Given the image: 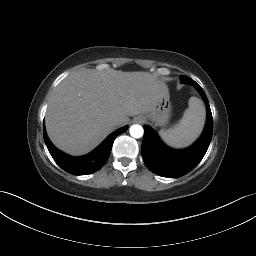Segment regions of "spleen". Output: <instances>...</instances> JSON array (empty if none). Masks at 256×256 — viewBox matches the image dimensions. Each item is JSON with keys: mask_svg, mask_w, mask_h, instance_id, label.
I'll return each instance as SVG.
<instances>
[{"mask_svg": "<svg viewBox=\"0 0 256 256\" xmlns=\"http://www.w3.org/2000/svg\"><path fill=\"white\" fill-rule=\"evenodd\" d=\"M205 122V107L197 97H191L179 124L160 130L161 138L170 146L182 148L190 145L201 133Z\"/></svg>", "mask_w": 256, "mask_h": 256, "instance_id": "obj_1", "label": "spleen"}]
</instances>
